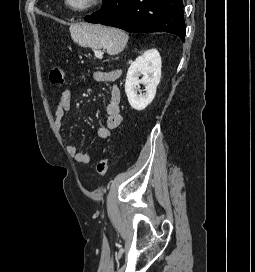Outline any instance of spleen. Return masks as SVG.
<instances>
[{"label": "spleen", "instance_id": "1", "mask_svg": "<svg viewBox=\"0 0 255 272\" xmlns=\"http://www.w3.org/2000/svg\"><path fill=\"white\" fill-rule=\"evenodd\" d=\"M71 37L82 47L104 49L109 55L123 51L128 35L116 28L92 24H74L70 26Z\"/></svg>", "mask_w": 255, "mask_h": 272}]
</instances>
